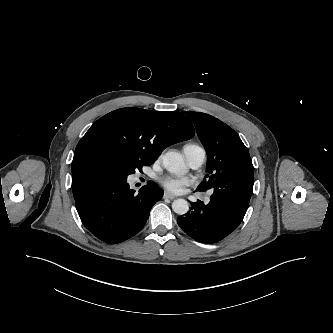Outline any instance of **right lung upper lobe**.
I'll return each mask as SVG.
<instances>
[{
	"mask_svg": "<svg viewBox=\"0 0 333 333\" xmlns=\"http://www.w3.org/2000/svg\"><path fill=\"white\" fill-rule=\"evenodd\" d=\"M194 133L188 118L177 111L118 109L97 120L79 141L72 172L96 153L154 162L166 147L190 139Z\"/></svg>",
	"mask_w": 333,
	"mask_h": 333,
	"instance_id": "right-lung-upper-lobe-1",
	"label": "right lung upper lobe"
}]
</instances>
